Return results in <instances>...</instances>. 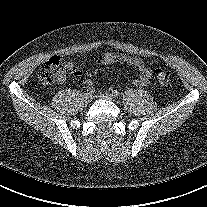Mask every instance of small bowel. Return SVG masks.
Wrapping results in <instances>:
<instances>
[{
  "instance_id": "small-bowel-1",
  "label": "small bowel",
  "mask_w": 207,
  "mask_h": 207,
  "mask_svg": "<svg viewBox=\"0 0 207 207\" xmlns=\"http://www.w3.org/2000/svg\"><path fill=\"white\" fill-rule=\"evenodd\" d=\"M115 62L126 63L134 67L139 72L138 76L132 81L134 85L145 86L148 84L151 73L148 66L142 59L121 53L105 52L98 60V63L101 65H108ZM68 70L74 76H81L83 73L82 69L76 66L74 63L68 64ZM64 80L65 76L63 74L59 77L58 82L62 83L64 82ZM85 84L91 87L93 85V81L90 78H87L85 79Z\"/></svg>"
}]
</instances>
